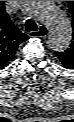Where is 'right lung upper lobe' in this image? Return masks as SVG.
Wrapping results in <instances>:
<instances>
[{
	"instance_id": "1",
	"label": "right lung upper lobe",
	"mask_w": 74,
	"mask_h": 122,
	"mask_svg": "<svg viewBox=\"0 0 74 122\" xmlns=\"http://www.w3.org/2000/svg\"><path fill=\"white\" fill-rule=\"evenodd\" d=\"M28 36L11 22L5 11L4 1H0V69L13 59L15 52Z\"/></svg>"
}]
</instances>
